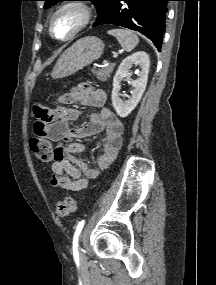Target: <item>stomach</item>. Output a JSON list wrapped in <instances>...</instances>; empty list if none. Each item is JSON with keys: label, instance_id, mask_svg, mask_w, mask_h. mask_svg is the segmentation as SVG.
<instances>
[{"label": "stomach", "instance_id": "0dacf381", "mask_svg": "<svg viewBox=\"0 0 216 285\" xmlns=\"http://www.w3.org/2000/svg\"><path fill=\"white\" fill-rule=\"evenodd\" d=\"M104 43L96 36H87L76 41L58 59L52 78L59 79L71 76L100 58Z\"/></svg>", "mask_w": 216, "mask_h": 285}]
</instances>
